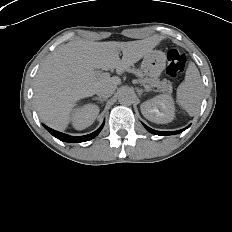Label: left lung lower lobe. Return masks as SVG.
Masks as SVG:
<instances>
[{"label":"left lung lower lobe","mask_w":232,"mask_h":232,"mask_svg":"<svg viewBox=\"0 0 232 232\" xmlns=\"http://www.w3.org/2000/svg\"><path fill=\"white\" fill-rule=\"evenodd\" d=\"M144 126H145V128L149 131V132H151V133H153V134H156V135H171V134H177V133H180V132H182V131H184L185 129H182V130H179V131H173V132H162V131H156V130H153V129H151V128H149L148 126H146L145 124H143Z\"/></svg>","instance_id":"left-lung-lower-lobe-1"}]
</instances>
